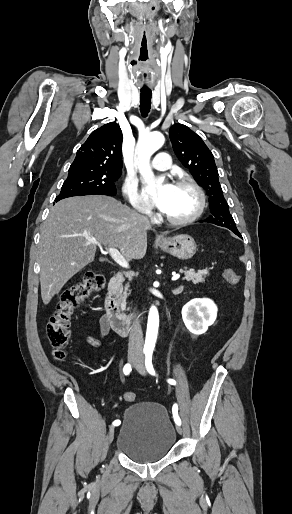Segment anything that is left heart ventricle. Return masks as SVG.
I'll use <instances>...</instances> for the list:
<instances>
[{"instance_id":"obj_1","label":"left heart ventricle","mask_w":292,"mask_h":514,"mask_svg":"<svg viewBox=\"0 0 292 514\" xmlns=\"http://www.w3.org/2000/svg\"><path fill=\"white\" fill-rule=\"evenodd\" d=\"M196 203V195L190 188L175 186V190L163 211L173 218H183L194 211Z\"/></svg>"}]
</instances>
